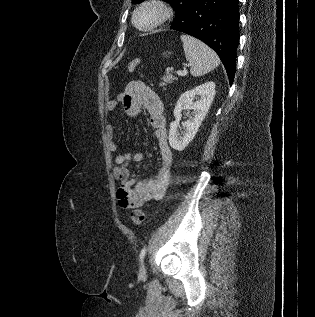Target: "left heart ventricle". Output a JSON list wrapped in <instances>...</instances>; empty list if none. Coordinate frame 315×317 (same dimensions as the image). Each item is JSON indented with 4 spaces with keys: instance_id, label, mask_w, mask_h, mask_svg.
I'll list each match as a JSON object with an SVG mask.
<instances>
[{
    "instance_id": "left-heart-ventricle-1",
    "label": "left heart ventricle",
    "mask_w": 315,
    "mask_h": 317,
    "mask_svg": "<svg viewBox=\"0 0 315 317\" xmlns=\"http://www.w3.org/2000/svg\"><path fill=\"white\" fill-rule=\"evenodd\" d=\"M154 18V12L150 10L143 11L139 15V22L141 24H147Z\"/></svg>"
}]
</instances>
